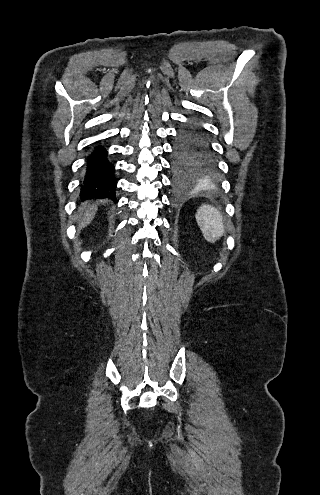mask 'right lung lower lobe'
I'll list each match as a JSON object with an SVG mask.
<instances>
[{"instance_id": "obj_1", "label": "right lung lower lobe", "mask_w": 320, "mask_h": 495, "mask_svg": "<svg viewBox=\"0 0 320 495\" xmlns=\"http://www.w3.org/2000/svg\"><path fill=\"white\" fill-rule=\"evenodd\" d=\"M107 150L94 143L85 164V176L81 185L82 200L93 198H115L117 180L115 168L108 159Z\"/></svg>"}]
</instances>
